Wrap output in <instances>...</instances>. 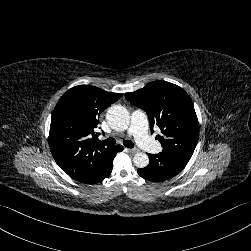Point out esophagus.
<instances>
[{"label":"esophagus","instance_id":"1","mask_svg":"<svg viewBox=\"0 0 251 251\" xmlns=\"http://www.w3.org/2000/svg\"><path fill=\"white\" fill-rule=\"evenodd\" d=\"M129 153L131 154H135V153H138L139 152V149L138 148H130L128 149Z\"/></svg>","mask_w":251,"mask_h":251}]
</instances>
